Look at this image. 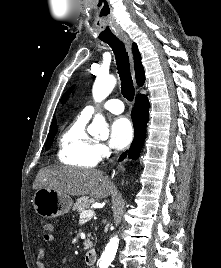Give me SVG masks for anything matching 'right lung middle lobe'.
Instances as JSON below:
<instances>
[{
    "label": "right lung middle lobe",
    "instance_id": "obj_1",
    "mask_svg": "<svg viewBox=\"0 0 221 268\" xmlns=\"http://www.w3.org/2000/svg\"><path fill=\"white\" fill-rule=\"evenodd\" d=\"M56 132H57V127L50 128V131L47 137V142H46V149H49L51 147V144L53 142Z\"/></svg>",
    "mask_w": 221,
    "mask_h": 268
}]
</instances>
